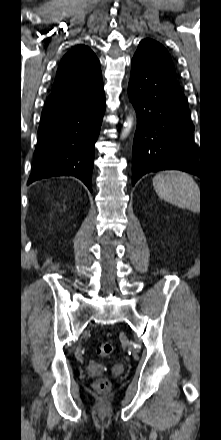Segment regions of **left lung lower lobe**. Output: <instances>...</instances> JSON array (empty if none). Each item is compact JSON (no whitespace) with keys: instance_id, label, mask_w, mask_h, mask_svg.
Returning a JSON list of instances; mask_svg holds the SVG:
<instances>
[{"instance_id":"0a47b994","label":"left lung lower lobe","mask_w":221,"mask_h":440,"mask_svg":"<svg viewBox=\"0 0 221 440\" xmlns=\"http://www.w3.org/2000/svg\"><path fill=\"white\" fill-rule=\"evenodd\" d=\"M137 114L132 153V185L149 172L177 169L202 177L194 152L189 107L176 76L136 51L128 86Z\"/></svg>"}]
</instances>
